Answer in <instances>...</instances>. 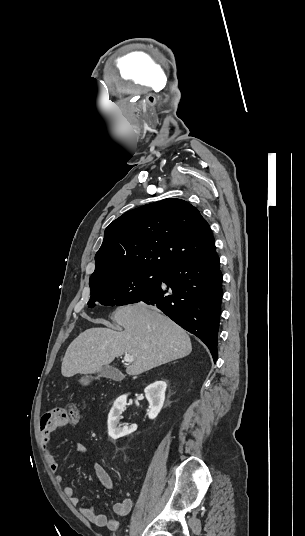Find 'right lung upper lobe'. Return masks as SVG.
<instances>
[{
	"label": "right lung upper lobe",
	"mask_w": 305,
	"mask_h": 536,
	"mask_svg": "<svg viewBox=\"0 0 305 536\" xmlns=\"http://www.w3.org/2000/svg\"><path fill=\"white\" fill-rule=\"evenodd\" d=\"M209 224L190 203L168 198L128 211L105 230L90 281L165 271L215 247Z\"/></svg>",
	"instance_id": "cb5924a9"
}]
</instances>
